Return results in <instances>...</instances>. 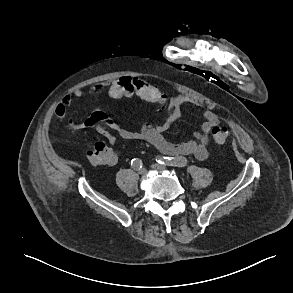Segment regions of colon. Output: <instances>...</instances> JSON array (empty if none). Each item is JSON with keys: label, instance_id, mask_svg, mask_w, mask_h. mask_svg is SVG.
I'll list each match as a JSON object with an SVG mask.
<instances>
[{"label": "colon", "instance_id": "obj_1", "mask_svg": "<svg viewBox=\"0 0 293 293\" xmlns=\"http://www.w3.org/2000/svg\"><path fill=\"white\" fill-rule=\"evenodd\" d=\"M140 95L150 100H155L157 95L146 90H141ZM212 137L217 144H223L229 134L228 128L225 126L213 127ZM86 159L92 165L109 166L115 160L114 152L103 142H97L86 152Z\"/></svg>", "mask_w": 293, "mask_h": 293}]
</instances>
